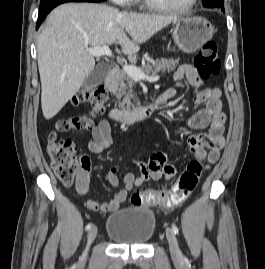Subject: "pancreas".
<instances>
[{"label": "pancreas", "instance_id": "obj_1", "mask_svg": "<svg viewBox=\"0 0 265 269\" xmlns=\"http://www.w3.org/2000/svg\"><path fill=\"white\" fill-rule=\"evenodd\" d=\"M179 59L161 58L156 60L153 65H147L141 68V71L146 76H155L158 73H165L172 71L178 64ZM134 80L127 75L125 71L118 70L115 76L114 92L119 101V108L121 110H130L135 105L139 104L138 98L133 93ZM133 101V103L131 102Z\"/></svg>", "mask_w": 265, "mask_h": 269}]
</instances>
